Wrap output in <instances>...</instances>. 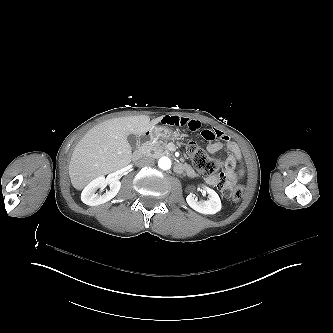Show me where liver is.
Instances as JSON below:
<instances>
[{
  "instance_id": "6515ba94",
  "label": "liver",
  "mask_w": 333,
  "mask_h": 333,
  "mask_svg": "<svg viewBox=\"0 0 333 333\" xmlns=\"http://www.w3.org/2000/svg\"><path fill=\"white\" fill-rule=\"evenodd\" d=\"M164 116L150 120L147 115L106 120L91 128L75 146L69 164L73 187L82 190L94 178L127 166L132 150L127 137L142 136Z\"/></svg>"
}]
</instances>
